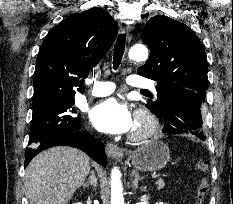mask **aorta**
<instances>
[{
	"instance_id": "obj_1",
	"label": "aorta",
	"mask_w": 233,
	"mask_h": 204,
	"mask_svg": "<svg viewBox=\"0 0 233 204\" xmlns=\"http://www.w3.org/2000/svg\"><path fill=\"white\" fill-rule=\"evenodd\" d=\"M129 59L145 61L148 58V49L143 44H136L129 50ZM121 172L114 168L111 173V204H124Z\"/></svg>"
}]
</instances>
